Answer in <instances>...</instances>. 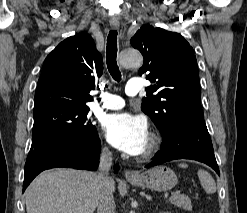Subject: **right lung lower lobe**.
<instances>
[{"label": "right lung lower lobe", "instance_id": "1", "mask_svg": "<svg viewBox=\"0 0 247 213\" xmlns=\"http://www.w3.org/2000/svg\"><path fill=\"white\" fill-rule=\"evenodd\" d=\"M100 139L85 141L75 132L57 134L32 143L28 154L23 191L42 171L56 167L96 170L99 163ZM118 171V165L115 166Z\"/></svg>", "mask_w": 247, "mask_h": 213}]
</instances>
